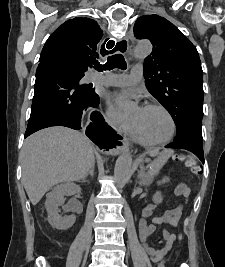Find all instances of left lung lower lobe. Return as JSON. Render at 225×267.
Instances as JSON below:
<instances>
[{
    "instance_id": "obj_1",
    "label": "left lung lower lobe",
    "mask_w": 225,
    "mask_h": 267,
    "mask_svg": "<svg viewBox=\"0 0 225 267\" xmlns=\"http://www.w3.org/2000/svg\"><path fill=\"white\" fill-rule=\"evenodd\" d=\"M202 124L200 120H193L188 127L175 137L174 142L167 148L185 149L194 153L204 163Z\"/></svg>"
}]
</instances>
